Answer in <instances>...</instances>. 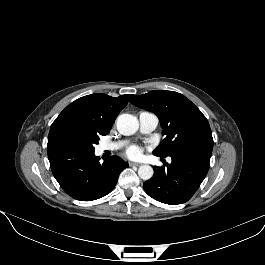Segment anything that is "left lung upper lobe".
Listing matches in <instances>:
<instances>
[{
	"label": "left lung upper lobe",
	"instance_id": "5c2ea615",
	"mask_svg": "<svg viewBox=\"0 0 265 265\" xmlns=\"http://www.w3.org/2000/svg\"><path fill=\"white\" fill-rule=\"evenodd\" d=\"M132 96L130 102L154 112L163 128L165 139L153 153L167 156L188 141L212 136L206 117L184 95L174 91L155 90Z\"/></svg>",
	"mask_w": 265,
	"mask_h": 265
}]
</instances>
